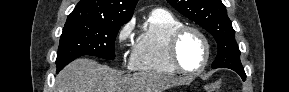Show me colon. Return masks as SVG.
<instances>
[{
    "instance_id": "1",
    "label": "colon",
    "mask_w": 289,
    "mask_h": 92,
    "mask_svg": "<svg viewBox=\"0 0 289 92\" xmlns=\"http://www.w3.org/2000/svg\"><path fill=\"white\" fill-rule=\"evenodd\" d=\"M221 87V81H216L206 87L207 92L218 91Z\"/></svg>"
}]
</instances>
